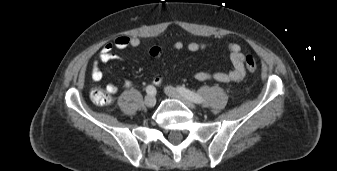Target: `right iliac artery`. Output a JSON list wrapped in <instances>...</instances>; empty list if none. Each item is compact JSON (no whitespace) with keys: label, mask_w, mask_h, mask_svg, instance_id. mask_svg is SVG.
<instances>
[{"label":"right iliac artery","mask_w":337,"mask_h":171,"mask_svg":"<svg viewBox=\"0 0 337 171\" xmlns=\"http://www.w3.org/2000/svg\"><path fill=\"white\" fill-rule=\"evenodd\" d=\"M146 92L149 95H155L156 94V88L152 85H149V86L146 87Z\"/></svg>","instance_id":"obj_1"}]
</instances>
